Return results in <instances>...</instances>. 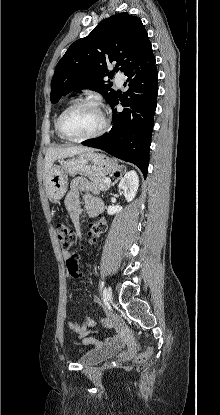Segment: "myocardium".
<instances>
[{"label":"myocardium","instance_id":"myocardium-1","mask_svg":"<svg viewBox=\"0 0 220 415\" xmlns=\"http://www.w3.org/2000/svg\"><path fill=\"white\" fill-rule=\"evenodd\" d=\"M86 105L94 106L100 111L102 115V125L100 129L96 131L95 133L88 135V136L78 137V138L69 137L68 135H66V133L63 130V122L65 118L72 111L82 106H86ZM108 126H109V119H108L107 113L103 105L98 100L87 98V99L78 100L74 102L73 104H71L69 107H67L59 116L56 129H57L58 135L64 140H67L69 142H83V141L95 139V138L102 136L107 131Z\"/></svg>","mask_w":220,"mask_h":415}]
</instances>
